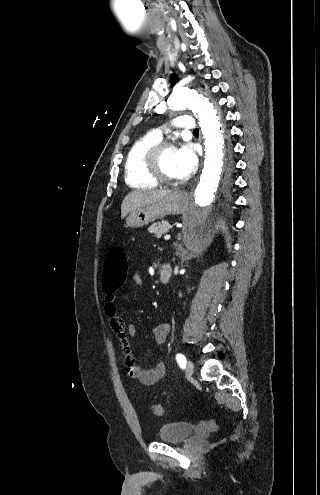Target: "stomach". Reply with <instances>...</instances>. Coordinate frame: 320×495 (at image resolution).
<instances>
[{
	"label": "stomach",
	"mask_w": 320,
	"mask_h": 495,
	"mask_svg": "<svg viewBox=\"0 0 320 495\" xmlns=\"http://www.w3.org/2000/svg\"><path fill=\"white\" fill-rule=\"evenodd\" d=\"M186 208V195L182 191L174 190L162 199L132 211L126 219V224L128 227L141 228L167 215L181 214Z\"/></svg>",
	"instance_id": "stomach-1"
}]
</instances>
